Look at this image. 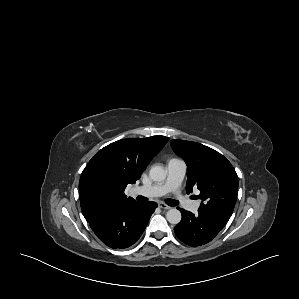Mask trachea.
Returning a JSON list of instances; mask_svg holds the SVG:
<instances>
[{
	"label": "trachea",
	"instance_id": "trachea-1",
	"mask_svg": "<svg viewBox=\"0 0 299 299\" xmlns=\"http://www.w3.org/2000/svg\"><path fill=\"white\" fill-rule=\"evenodd\" d=\"M166 203H167L169 206H176V205H178V201L173 200V199H167V200H166Z\"/></svg>",
	"mask_w": 299,
	"mask_h": 299
}]
</instances>
